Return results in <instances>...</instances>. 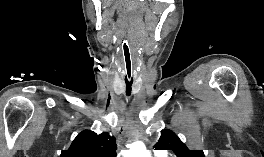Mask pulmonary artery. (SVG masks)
Here are the masks:
<instances>
[{
    "instance_id": "1",
    "label": "pulmonary artery",
    "mask_w": 264,
    "mask_h": 157,
    "mask_svg": "<svg viewBox=\"0 0 264 157\" xmlns=\"http://www.w3.org/2000/svg\"><path fill=\"white\" fill-rule=\"evenodd\" d=\"M158 155H159V157H163V156H165V152L164 151H158Z\"/></svg>"
}]
</instances>
